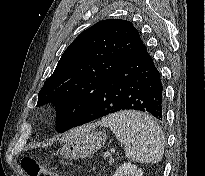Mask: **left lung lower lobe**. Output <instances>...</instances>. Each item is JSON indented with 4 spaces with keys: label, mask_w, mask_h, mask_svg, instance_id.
Returning a JSON list of instances; mask_svg holds the SVG:
<instances>
[{
    "label": "left lung lower lobe",
    "mask_w": 205,
    "mask_h": 176,
    "mask_svg": "<svg viewBox=\"0 0 205 176\" xmlns=\"http://www.w3.org/2000/svg\"><path fill=\"white\" fill-rule=\"evenodd\" d=\"M160 73L142 43L104 84L96 99L78 118L77 127L120 110H139L162 120Z\"/></svg>",
    "instance_id": "0a47b994"
}]
</instances>
